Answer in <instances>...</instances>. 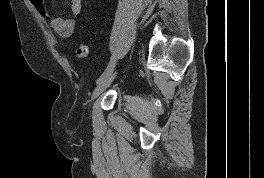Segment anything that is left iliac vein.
<instances>
[{"instance_id": "left-iliac-vein-1", "label": "left iliac vein", "mask_w": 264, "mask_h": 178, "mask_svg": "<svg viewBox=\"0 0 264 178\" xmlns=\"http://www.w3.org/2000/svg\"><path fill=\"white\" fill-rule=\"evenodd\" d=\"M117 75V71H112L110 74H108L107 76H105L97 85V87L95 88L91 100L94 101L95 99H97L109 86L110 84L113 82L114 78Z\"/></svg>"}]
</instances>
